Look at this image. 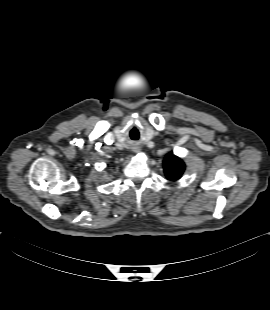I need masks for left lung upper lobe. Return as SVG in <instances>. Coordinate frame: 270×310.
I'll return each instance as SVG.
<instances>
[{"mask_svg":"<svg viewBox=\"0 0 270 310\" xmlns=\"http://www.w3.org/2000/svg\"><path fill=\"white\" fill-rule=\"evenodd\" d=\"M185 170L184 162L177 156L167 155L164 159V171L169 180L179 179Z\"/></svg>","mask_w":270,"mask_h":310,"instance_id":"1","label":"left lung upper lobe"}]
</instances>
